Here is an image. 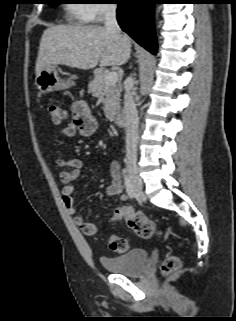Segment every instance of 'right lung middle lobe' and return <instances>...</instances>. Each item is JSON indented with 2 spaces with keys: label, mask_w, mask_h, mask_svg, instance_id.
Here are the masks:
<instances>
[{
  "label": "right lung middle lobe",
  "mask_w": 236,
  "mask_h": 321,
  "mask_svg": "<svg viewBox=\"0 0 236 321\" xmlns=\"http://www.w3.org/2000/svg\"><path fill=\"white\" fill-rule=\"evenodd\" d=\"M53 1L54 2L49 3V5L52 7H56L59 4V2L57 0H53Z\"/></svg>",
  "instance_id": "dd1d6c3e"
}]
</instances>
